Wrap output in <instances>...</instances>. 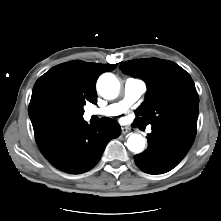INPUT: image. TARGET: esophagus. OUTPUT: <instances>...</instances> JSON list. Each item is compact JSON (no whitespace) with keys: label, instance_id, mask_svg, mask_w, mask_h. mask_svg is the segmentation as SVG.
I'll return each instance as SVG.
<instances>
[{"label":"esophagus","instance_id":"1","mask_svg":"<svg viewBox=\"0 0 221 221\" xmlns=\"http://www.w3.org/2000/svg\"><path fill=\"white\" fill-rule=\"evenodd\" d=\"M121 130H122L123 134H127L130 132V128H128V127H122Z\"/></svg>","mask_w":221,"mask_h":221}]
</instances>
